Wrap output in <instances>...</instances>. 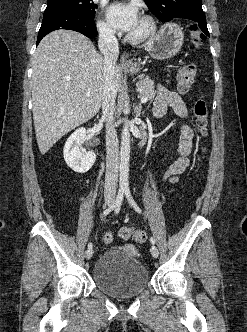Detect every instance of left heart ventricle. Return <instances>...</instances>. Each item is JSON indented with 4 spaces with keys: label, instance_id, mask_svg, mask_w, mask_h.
Masks as SVG:
<instances>
[{
    "label": "left heart ventricle",
    "instance_id": "obj_1",
    "mask_svg": "<svg viewBox=\"0 0 247 332\" xmlns=\"http://www.w3.org/2000/svg\"><path fill=\"white\" fill-rule=\"evenodd\" d=\"M146 30V24L142 19H139L137 25L135 26V28L132 30V32L130 34L132 35H139L141 33H143Z\"/></svg>",
    "mask_w": 247,
    "mask_h": 332
}]
</instances>
